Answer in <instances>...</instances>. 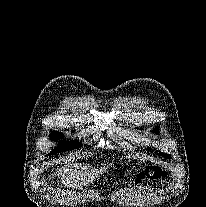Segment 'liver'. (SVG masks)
I'll return each instance as SVG.
<instances>
[{"mask_svg": "<svg viewBox=\"0 0 206 207\" xmlns=\"http://www.w3.org/2000/svg\"><path fill=\"white\" fill-rule=\"evenodd\" d=\"M57 173L62 183L72 188H79L82 185H86L92 182L95 176H98L97 171H89V166L73 162H68Z\"/></svg>", "mask_w": 206, "mask_h": 207, "instance_id": "obj_1", "label": "liver"}]
</instances>
